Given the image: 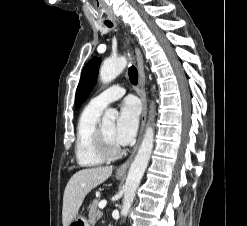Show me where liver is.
Segmentation results:
<instances>
[{
	"label": "liver",
	"instance_id": "6515ba94",
	"mask_svg": "<svg viewBox=\"0 0 247 226\" xmlns=\"http://www.w3.org/2000/svg\"><path fill=\"white\" fill-rule=\"evenodd\" d=\"M113 171L112 166L82 169L76 172L66 185L63 196V226L76 217L85 196L96 186L107 180Z\"/></svg>",
	"mask_w": 247,
	"mask_h": 226
}]
</instances>
